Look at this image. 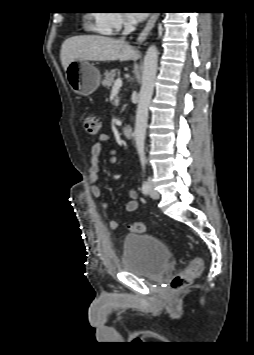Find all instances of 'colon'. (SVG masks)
<instances>
[{
    "instance_id": "colon-1",
    "label": "colon",
    "mask_w": 254,
    "mask_h": 355,
    "mask_svg": "<svg viewBox=\"0 0 254 355\" xmlns=\"http://www.w3.org/2000/svg\"><path fill=\"white\" fill-rule=\"evenodd\" d=\"M85 131L90 135H95L99 131V119L95 115H87L83 120ZM129 229L133 233H144L147 231V225L143 222H134L129 225ZM203 270V260L194 258L188 266L181 272L174 275L170 282L173 291H179L187 288L192 281L201 274Z\"/></svg>"
}]
</instances>
